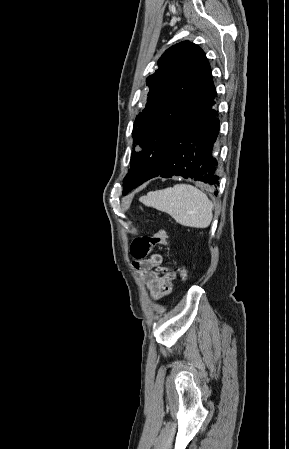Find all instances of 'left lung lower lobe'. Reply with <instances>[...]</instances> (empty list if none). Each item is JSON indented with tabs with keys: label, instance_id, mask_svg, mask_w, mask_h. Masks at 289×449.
I'll return each mask as SVG.
<instances>
[{
	"label": "left lung lower lobe",
	"instance_id": "0a47b994",
	"mask_svg": "<svg viewBox=\"0 0 289 449\" xmlns=\"http://www.w3.org/2000/svg\"><path fill=\"white\" fill-rule=\"evenodd\" d=\"M215 97L211 76L190 116L165 139L166 158L157 176H181L214 186L219 184L215 144L220 121L213 109Z\"/></svg>",
	"mask_w": 289,
	"mask_h": 449
}]
</instances>
